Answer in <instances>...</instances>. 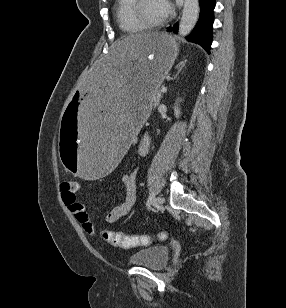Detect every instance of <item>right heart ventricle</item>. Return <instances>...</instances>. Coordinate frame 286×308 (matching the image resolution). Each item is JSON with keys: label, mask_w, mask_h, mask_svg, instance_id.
Listing matches in <instances>:
<instances>
[{"label": "right heart ventricle", "mask_w": 286, "mask_h": 308, "mask_svg": "<svg viewBox=\"0 0 286 308\" xmlns=\"http://www.w3.org/2000/svg\"><path fill=\"white\" fill-rule=\"evenodd\" d=\"M135 0H117L116 19L119 28L127 34H136L145 30L132 16L131 8Z\"/></svg>", "instance_id": "1"}]
</instances>
